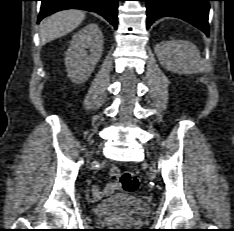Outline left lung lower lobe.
Here are the masks:
<instances>
[{
    "mask_svg": "<svg viewBox=\"0 0 234 231\" xmlns=\"http://www.w3.org/2000/svg\"><path fill=\"white\" fill-rule=\"evenodd\" d=\"M146 2L147 28L160 17H177L209 35V1L212 0H142Z\"/></svg>",
    "mask_w": 234,
    "mask_h": 231,
    "instance_id": "left-lung-lower-lobe-1",
    "label": "left lung lower lobe"
}]
</instances>
